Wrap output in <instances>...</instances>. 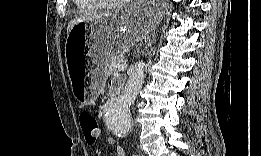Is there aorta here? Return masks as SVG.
<instances>
[{
	"label": "aorta",
	"mask_w": 261,
	"mask_h": 156,
	"mask_svg": "<svg viewBox=\"0 0 261 156\" xmlns=\"http://www.w3.org/2000/svg\"><path fill=\"white\" fill-rule=\"evenodd\" d=\"M146 64L139 61L135 64L121 95L111 97L105 104L103 120L107 131L116 136H126L132 126L131 105L135 102L142 87Z\"/></svg>",
	"instance_id": "obj_1"
}]
</instances>
